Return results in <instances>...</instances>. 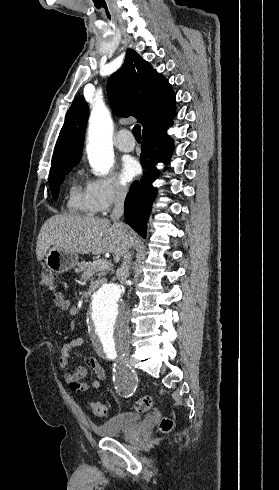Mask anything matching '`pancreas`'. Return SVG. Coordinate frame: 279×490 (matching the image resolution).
Returning a JSON list of instances; mask_svg holds the SVG:
<instances>
[{
	"mask_svg": "<svg viewBox=\"0 0 279 490\" xmlns=\"http://www.w3.org/2000/svg\"><path fill=\"white\" fill-rule=\"evenodd\" d=\"M112 266L109 262L105 264H99L95 266L93 262H80L78 268H75L76 274H82V278H93V276H106L107 272L111 270Z\"/></svg>",
	"mask_w": 279,
	"mask_h": 490,
	"instance_id": "1",
	"label": "pancreas"
}]
</instances>
